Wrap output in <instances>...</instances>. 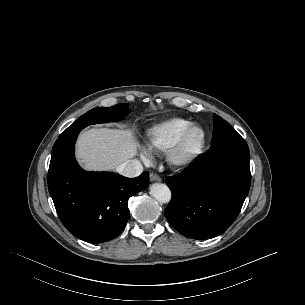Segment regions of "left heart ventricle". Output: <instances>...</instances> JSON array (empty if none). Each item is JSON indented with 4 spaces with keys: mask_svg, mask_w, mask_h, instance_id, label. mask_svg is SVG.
Masks as SVG:
<instances>
[{
    "mask_svg": "<svg viewBox=\"0 0 305 305\" xmlns=\"http://www.w3.org/2000/svg\"><path fill=\"white\" fill-rule=\"evenodd\" d=\"M199 139H200V132L197 130L192 132L189 138L190 147H194L198 143Z\"/></svg>",
    "mask_w": 305,
    "mask_h": 305,
    "instance_id": "b2bd125f",
    "label": "left heart ventricle"
}]
</instances>
